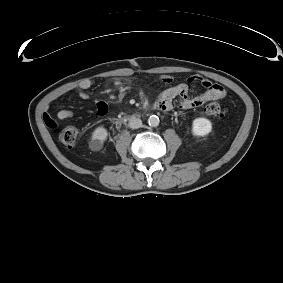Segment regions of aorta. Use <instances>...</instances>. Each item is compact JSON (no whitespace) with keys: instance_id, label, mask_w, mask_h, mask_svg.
<instances>
[{"instance_id":"1","label":"aorta","mask_w":283,"mask_h":283,"mask_svg":"<svg viewBox=\"0 0 283 283\" xmlns=\"http://www.w3.org/2000/svg\"><path fill=\"white\" fill-rule=\"evenodd\" d=\"M160 123V120H159V117L156 116V115H151L149 118H148V124L151 126V127H157Z\"/></svg>"}]
</instances>
